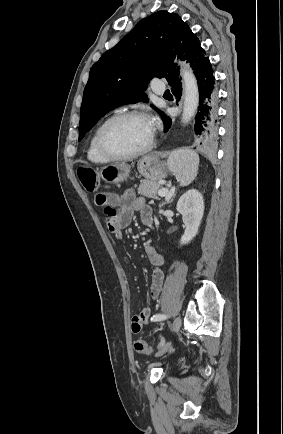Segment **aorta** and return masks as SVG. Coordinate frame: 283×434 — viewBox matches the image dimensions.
Here are the masks:
<instances>
[{
	"label": "aorta",
	"mask_w": 283,
	"mask_h": 434,
	"mask_svg": "<svg viewBox=\"0 0 283 434\" xmlns=\"http://www.w3.org/2000/svg\"><path fill=\"white\" fill-rule=\"evenodd\" d=\"M181 77L184 88L182 122L186 124L191 120L197 110L199 104V90L193 71L184 65H181Z\"/></svg>",
	"instance_id": "1"
}]
</instances>
